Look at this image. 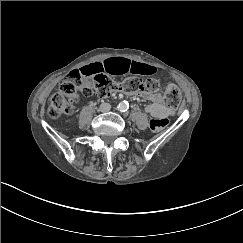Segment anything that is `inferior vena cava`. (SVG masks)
Here are the masks:
<instances>
[{"mask_svg": "<svg viewBox=\"0 0 243 243\" xmlns=\"http://www.w3.org/2000/svg\"><path fill=\"white\" fill-rule=\"evenodd\" d=\"M110 105L109 104H105V103H103V104H101L100 106H99V111L100 112H109L110 111Z\"/></svg>", "mask_w": 243, "mask_h": 243, "instance_id": "inferior-vena-cava-1", "label": "inferior vena cava"}]
</instances>
